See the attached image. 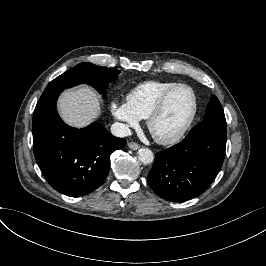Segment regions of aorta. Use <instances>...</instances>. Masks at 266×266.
Instances as JSON below:
<instances>
[{"label": "aorta", "mask_w": 266, "mask_h": 266, "mask_svg": "<svg viewBox=\"0 0 266 266\" xmlns=\"http://www.w3.org/2000/svg\"><path fill=\"white\" fill-rule=\"evenodd\" d=\"M138 159L141 163L150 165L154 161V154L148 148H142L138 151Z\"/></svg>", "instance_id": "obj_1"}]
</instances>
